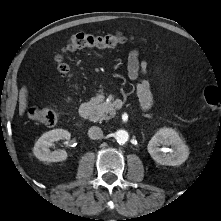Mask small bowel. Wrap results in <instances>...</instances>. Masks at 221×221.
<instances>
[{
	"label": "small bowel",
	"instance_id": "small-bowel-1",
	"mask_svg": "<svg viewBox=\"0 0 221 221\" xmlns=\"http://www.w3.org/2000/svg\"><path fill=\"white\" fill-rule=\"evenodd\" d=\"M128 77L134 81L138 78L139 74H144L147 71V62L140 60V52L138 49H133L129 52L127 63ZM136 92L140 100L143 110H148L152 106V95L147 81L142 80L136 86Z\"/></svg>",
	"mask_w": 221,
	"mask_h": 221
}]
</instances>
